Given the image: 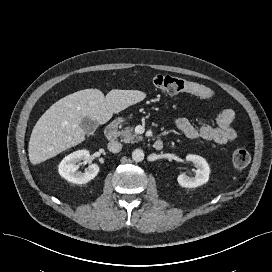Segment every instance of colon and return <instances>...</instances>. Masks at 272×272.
Wrapping results in <instances>:
<instances>
[{"label":"colon","instance_id":"colon-1","mask_svg":"<svg viewBox=\"0 0 272 272\" xmlns=\"http://www.w3.org/2000/svg\"><path fill=\"white\" fill-rule=\"evenodd\" d=\"M153 85L164 94L176 95L189 93L203 99H211L213 91L201 84L187 81L171 75H157L153 79ZM250 154L245 149H237L232 156V162L236 169L242 170L250 163Z\"/></svg>","mask_w":272,"mask_h":272}]
</instances>
